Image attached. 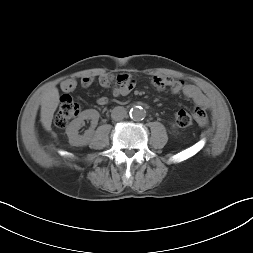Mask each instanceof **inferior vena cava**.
<instances>
[{
	"mask_svg": "<svg viewBox=\"0 0 253 253\" xmlns=\"http://www.w3.org/2000/svg\"><path fill=\"white\" fill-rule=\"evenodd\" d=\"M126 115H127L126 109L121 106L115 107L111 113V117L115 121H120V120L124 119L126 117Z\"/></svg>",
	"mask_w": 253,
	"mask_h": 253,
	"instance_id": "inferior-vena-cava-1",
	"label": "inferior vena cava"
}]
</instances>
